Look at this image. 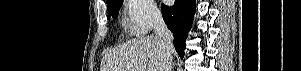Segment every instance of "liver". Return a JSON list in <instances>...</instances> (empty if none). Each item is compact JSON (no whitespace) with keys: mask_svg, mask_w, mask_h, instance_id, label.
<instances>
[{"mask_svg":"<svg viewBox=\"0 0 301 71\" xmlns=\"http://www.w3.org/2000/svg\"><path fill=\"white\" fill-rule=\"evenodd\" d=\"M163 52L156 36H138L105 53L101 71H161Z\"/></svg>","mask_w":301,"mask_h":71,"instance_id":"liver-1","label":"liver"}]
</instances>
